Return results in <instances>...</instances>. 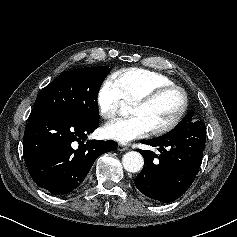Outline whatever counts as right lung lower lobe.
I'll return each mask as SVG.
<instances>
[{
  "label": "right lung lower lobe",
  "mask_w": 237,
  "mask_h": 237,
  "mask_svg": "<svg viewBox=\"0 0 237 237\" xmlns=\"http://www.w3.org/2000/svg\"><path fill=\"white\" fill-rule=\"evenodd\" d=\"M98 127L99 120L80 121L59 112L33 108L24 133L23 153L34 182L52 194L76 189L95 160L117 148L114 141L84 142Z\"/></svg>",
  "instance_id": "98d812e1"
}]
</instances>
